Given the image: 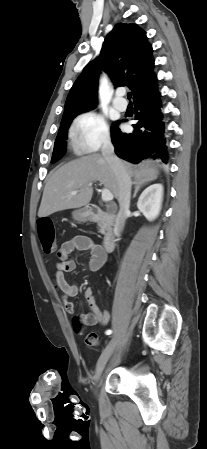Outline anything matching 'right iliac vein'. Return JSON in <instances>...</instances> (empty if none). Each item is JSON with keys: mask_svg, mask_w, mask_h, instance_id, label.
<instances>
[{"mask_svg": "<svg viewBox=\"0 0 207 449\" xmlns=\"http://www.w3.org/2000/svg\"><path fill=\"white\" fill-rule=\"evenodd\" d=\"M115 344H116V339L114 338V339H112L109 342V344L103 350L100 358L98 359V362H97V365H96L95 374H94V377H93V380H94L95 384L99 381V379H100V377H101V375L103 373V370L105 368V365H106L107 361L109 360V358H110V356H111V354H112V352L114 350Z\"/></svg>", "mask_w": 207, "mask_h": 449, "instance_id": "obj_1", "label": "right iliac vein"}]
</instances>
